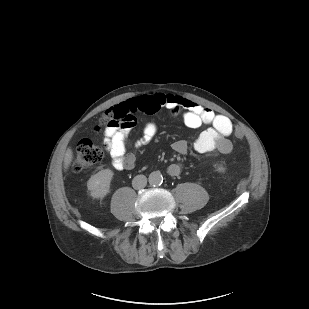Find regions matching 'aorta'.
Segmentation results:
<instances>
[{
	"mask_svg": "<svg viewBox=\"0 0 309 309\" xmlns=\"http://www.w3.org/2000/svg\"><path fill=\"white\" fill-rule=\"evenodd\" d=\"M149 184L152 186L161 185L163 182V176L160 171H154L149 175Z\"/></svg>",
	"mask_w": 309,
	"mask_h": 309,
	"instance_id": "762f6f07",
	"label": "aorta"
}]
</instances>
